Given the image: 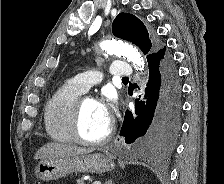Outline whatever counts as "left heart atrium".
<instances>
[{
    "label": "left heart atrium",
    "mask_w": 224,
    "mask_h": 184,
    "mask_svg": "<svg viewBox=\"0 0 224 184\" xmlns=\"http://www.w3.org/2000/svg\"><path fill=\"white\" fill-rule=\"evenodd\" d=\"M98 104L105 118L111 121L113 117V108H114V103L112 99L108 98L104 101L98 102Z\"/></svg>",
    "instance_id": "left-heart-atrium-1"
}]
</instances>
